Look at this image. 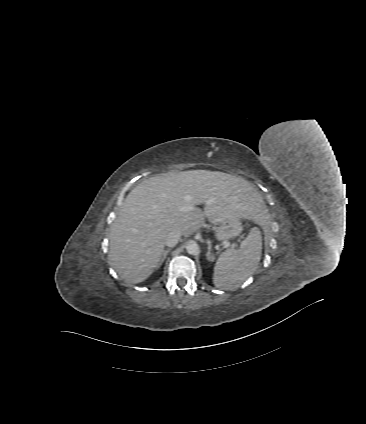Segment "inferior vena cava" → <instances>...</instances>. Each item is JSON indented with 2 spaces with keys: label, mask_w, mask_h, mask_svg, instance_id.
Segmentation results:
<instances>
[{
  "label": "inferior vena cava",
  "mask_w": 366,
  "mask_h": 424,
  "mask_svg": "<svg viewBox=\"0 0 366 424\" xmlns=\"http://www.w3.org/2000/svg\"><path fill=\"white\" fill-rule=\"evenodd\" d=\"M181 239V233L179 231H173L169 233L165 239V244L168 247H174Z\"/></svg>",
  "instance_id": "1"
}]
</instances>
